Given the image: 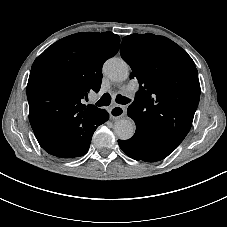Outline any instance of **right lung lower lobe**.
Returning a JSON list of instances; mask_svg holds the SVG:
<instances>
[{
    "label": "right lung lower lobe",
    "mask_w": 227,
    "mask_h": 227,
    "mask_svg": "<svg viewBox=\"0 0 227 227\" xmlns=\"http://www.w3.org/2000/svg\"><path fill=\"white\" fill-rule=\"evenodd\" d=\"M97 126H88L83 122L81 125L73 129L67 137L68 147L58 148L57 146H48L44 144L40 134H35L41 147L51 155L60 158H73L83 156L88 152L92 135Z\"/></svg>",
    "instance_id": "1"
}]
</instances>
